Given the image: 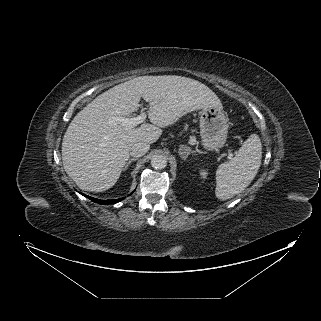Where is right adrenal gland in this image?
<instances>
[{
    "label": "right adrenal gland",
    "instance_id": "2a0ac1e0",
    "mask_svg": "<svg viewBox=\"0 0 321 321\" xmlns=\"http://www.w3.org/2000/svg\"><path fill=\"white\" fill-rule=\"evenodd\" d=\"M137 159L136 158H131L129 159V161L126 163L125 167L123 168V170H126L128 168V166L133 162V161H136Z\"/></svg>",
    "mask_w": 321,
    "mask_h": 321
}]
</instances>
